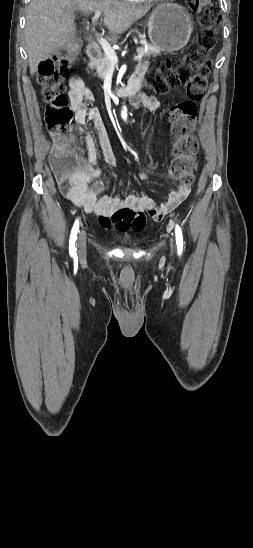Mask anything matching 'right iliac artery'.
Masks as SVG:
<instances>
[{
    "mask_svg": "<svg viewBox=\"0 0 253 548\" xmlns=\"http://www.w3.org/2000/svg\"><path fill=\"white\" fill-rule=\"evenodd\" d=\"M78 231H79V222H78V220H76L74 225H73L71 235H70V240H69V253H70L71 257H76L77 256L75 242L77 240Z\"/></svg>",
    "mask_w": 253,
    "mask_h": 548,
    "instance_id": "82829eb1",
    "label": "right iliac artery"
}]
</instances>
